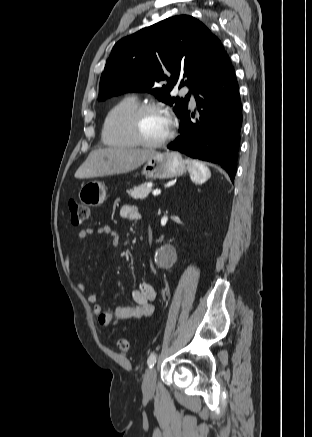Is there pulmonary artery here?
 I'll return each instance as SVG.
<instances>
[{
	"mask_svg": "<svg viewBox=\"0 0 312 437\" xmlns=\"http://www.w3.org/2000/svg\"><path fill=\"white\" fill-rule=\"evenodd\" d=\"M182 93H183L184 95H186V94H190V104H191L192 106H195L196 101H195V98H194L193 93H192L189 89H187V88L183 89V90H182Z\"/></svg>",
	"mask_w": 312,
	"mask_h": 437,
	"instance_id": "obj_1",
	"label": "pulmonary artery"
}]
</instances>
